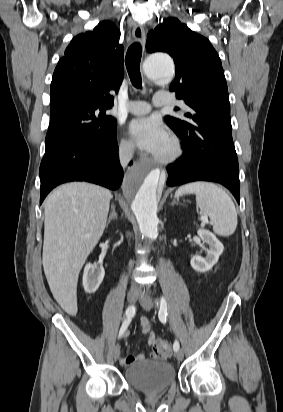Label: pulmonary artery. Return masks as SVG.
Returning a JSON list of instances; mask_svg holds the SVG:
<instances>
[{"mask_svg":"<svg viewBox=\"0 0 283 412\" xmlns=\"http://www.w3.org/2000/svg\"><path fill=\"white\" fill-rule=\"evenodd\" d=\"M172 95L168 92L158 93L153 98V103L156 107L166 106L171 104ZM128 111L132 114L141 115L150 111V105L145 101L132 100L128 103Z\"/></svg>","mask_w":283,"mask_h":412,"instance_id":"1","label":"pulmonary artery"}]
</instances>
